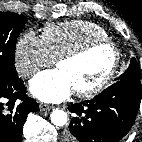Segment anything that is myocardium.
Listing matches in <instances>:
<instances>
[{"instance_id":"1","label":"myocardium","mask_w":142,"mask_h":142,"mask_svg":"<svg viewBox=\"0 0 142 142\" xmlns=\"http://www.w3.org/2000/svg\"><path fill=\"white\" fill-rule=\"evenodd\" d=\"M99 47H109L112 50L113 62L111 64V67L109 68L108 72L104 75V77L96 84L84 89H75L74 92L77 96L92 97L108 86V84L116 75L121 61V51L119 47L114 42L108 39L92 40L74 50L62 54L56 59V65L58 66L60 63L65 61L80 59Z\"/></svg>"}]
</instances>
